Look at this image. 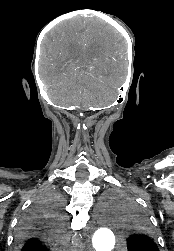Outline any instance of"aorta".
I'll return each mask as SVG.
<instances>
[{"instance_id": "762f6f07", "label": "aorta", "mask_w": 174, "mask_h": 251, "mask_svg": "<svg viewBox=\"0 0 174 251\" xmlns=\"http://www.w3.org/2000/svg\"><path fill=\"white\" fill-rule=\"evenodd\" d=\"M117 221L109 213H104L98 219V227L94 233L92 243L96 251H111L114 249L115 238L113 230Z\"/></svg>"}]
</instances>
